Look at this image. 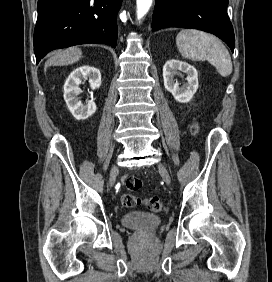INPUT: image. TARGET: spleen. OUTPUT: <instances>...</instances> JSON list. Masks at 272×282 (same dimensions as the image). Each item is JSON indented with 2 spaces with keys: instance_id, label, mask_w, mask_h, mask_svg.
<instances>
[{
  "instance_id": "1",
  "label": "spleen",
  "mask_w": 272,
  "mask_h": 282,
  "mask_svg": "<svg viewBox=\"0 0 272 282\" xmlns=\"http://www.w3.org/2000/svg\"><path fill=\"white\" fill-rule=\"evenodd\" d=\"M179 53L192 61L208 60L219 74L227 77L232 73V61L226 47L208 33L184 29L176 37Z\"/></svg>"
}]
</instances>
